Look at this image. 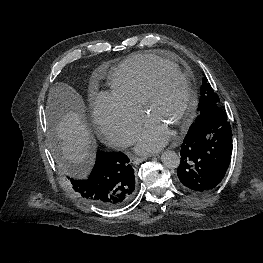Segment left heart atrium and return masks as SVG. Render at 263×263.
<instances>
[{
	"label": "left heart atrium",
	"mask_w": 263,
	"mask_h": 263,
	"mask_svg": "<svg viewBox=\"0 0 263 263\" xmlns=\"http://www.w3.org/2000/svg\"><path fill=\"white\" fill-rule=\"evenodd\" d=\"M169 136V132L161 124L148 119L139 134L136 149L141 153L154 152L167 143Z\"/></svg>",
	"instance_id": "left-heart-atrium-1"
}]
</instances>
